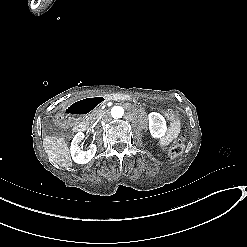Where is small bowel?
Wrapping results in <instances>:
<instances>
[{"label": "small bowel", "mask_w": 247, "mask_h": 247, "mask_svg": "<svg viewBox=\"0 0 247 247\" xmlns=\"http://www.w3.org/2000/svg\"><path fill=\"white\" fill-rule=\"evenodd\" d=\"M180 131L181 127L179 120L173 119L166 134L160 139V145L164 147L174 141L180 135Z\"/></svg>", "instance_id": "1"}]
</instances>
